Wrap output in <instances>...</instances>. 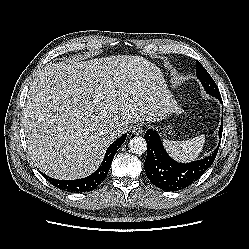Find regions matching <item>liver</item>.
<instances>
[{"instance_id":"1","label":"liver","mask_w":249,"mask_h":249,"mask_svg":"<svg viewBox=\"0 0 249 249\" xmlns=\"http://www.w3.org/2000/svg\"><path fill=\"white\" fill-rule=\"evenodd\" d=\"M171 97L160 68L142 56L48 65L30 85L23 109L29 155L52 178L88 176L117 138L115 127L163 120L174 107Z\"/></svg>"}]
</instances>
